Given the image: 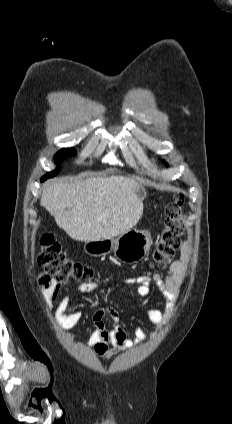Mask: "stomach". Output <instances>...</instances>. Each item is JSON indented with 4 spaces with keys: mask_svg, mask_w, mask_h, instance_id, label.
I'll list each match as a JSON object with an SVG mask.
<instances>
[{
    "mask_svg": "<svg viewBox=\"0 0 232 424\" xmlns=\"http://www.w3.org/2000/svg\"><path fill=\"white\" fill-rule=\"evenodd\" d=\"M144 193V189H139ZM152 245L148 231L130 229L117 238H107L87 241L84 250L91 256H103L114 252L115 256L126 263H136L142 260Z\"/></svg>",
    "mask_w": 232,
    "mask_h": 424,
    "instance_id": "1",
    "label": "stomach"
}]
</instances>
